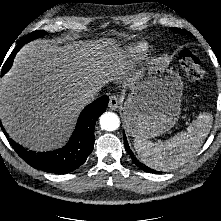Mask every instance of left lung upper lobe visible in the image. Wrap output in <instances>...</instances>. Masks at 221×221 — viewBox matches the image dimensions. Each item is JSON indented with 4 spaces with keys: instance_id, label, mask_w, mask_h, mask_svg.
I'll return each instance as SVG.
<instances>
[{
    "instance_id": "1",
    "label": "left lung upper lobe",
    "mask_w": 221,
    "mask_h": 221,
    "mask_svg": "<svg viewBox=\"0 0 221 221\" xmlns=\"http://www.w3.org/2000/svg\"><path fill=\"white\" fill-rule=\"evenodd\" d=\"M173 30H174L175 32H179V33H181V32H182V33H186V32H184V31H181L180 29H177V28H174Z\"/></svg>"
}]
</instances>
